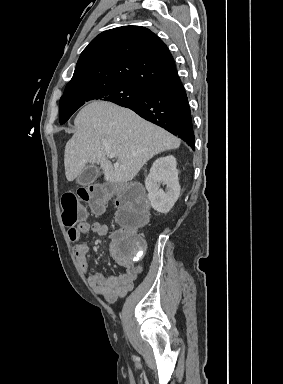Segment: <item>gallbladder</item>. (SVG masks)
Instances as JSON below:
<instances>
[{
	"mask_svg": "<svg viewBox=\"0 0 283 384\" xmlns=\"http://www.w3.org/2000/svg\"><path fill=\"white\" fill-rule=\"evenodd\" d=\"M97 176V170L94 166H86L85 170H83L82 174L77 178V184L80 186H89L94 182Z\"/></svg>",
	"mask_w": 283,
	"mask_h": 384,
	"instance_id": "1",
	"label": "gallbladder"
}]
</instances>
